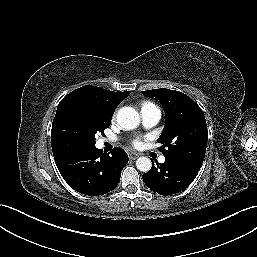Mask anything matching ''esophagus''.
Masks as SVG:
<instances>
[{
  "label": "esophagus",
  "mask_w": 257,
  "mask_h": 257,
  "mask_svg": "<svg viewBox=\"0 0 257 257\" xmlns=\"http://www.w3.org/2000/svg\"><path fill=\"white\" fill-rule=\"evenodd\" d=\"M128 157L131 160H135V159H137L139 157V154L138 153H134V152H130V153H128Z\"/></svg>",
  "instance_id": "1"
}]
</instances>
